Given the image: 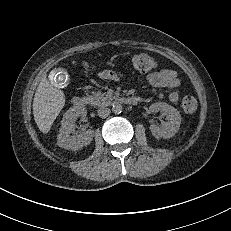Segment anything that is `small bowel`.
<instances>
[{"label": "small bowel", "mask_w": 231, "mask_h": 231, "mask_svg": "<svg viewBox=\"0 0 231 231\" xmlns=\"http://www.w3.org/2000/svg\"><path fill=\"white\" fill-rule=\"evenodd\" d=\"M98 76L103 80H121L119 74L112 70H103ZM147 81L149 85L157 89H173L168 95L169 100L171 102H177L179 100L180 94L178 91L174 90L180 85V77L176 71L171 69H161L159 71L152 72L147 76ZM157 97L163 98L164 93H157Z\"/></svg>", "instance_id": "obj_1"}]
</instances>
